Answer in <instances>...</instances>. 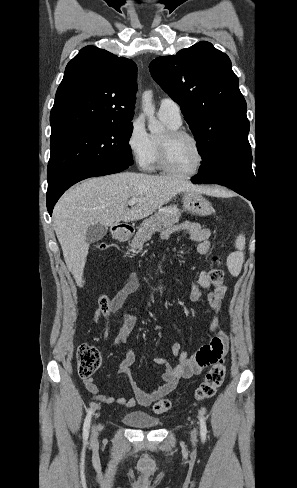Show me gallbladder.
Returning a JSON list of instances; mask_svg holds the SVG:
<instances>
[{"label":"gallbladder","instance_id":"gallbladder-1","mask_svg":"<svg viewBox=\"0 0 297 488\" xmlns=\"http://www.w3.org/2000/svg\"><path fill=\"white\" fill-rule=\"evenodd\" d=\"M107 226L95 224L88 227L86 232V240L89 243H94L101 240L107 234Z\"/></svg>","mask_w":297,"mask_h":488}]
</instances>
